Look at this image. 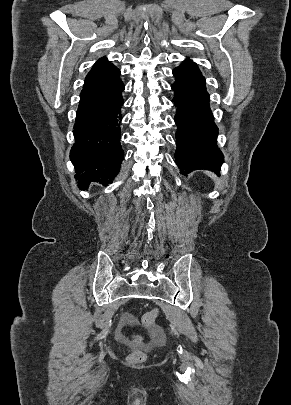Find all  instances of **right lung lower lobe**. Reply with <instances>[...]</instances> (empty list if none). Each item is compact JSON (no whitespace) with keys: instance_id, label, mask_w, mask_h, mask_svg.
I'll return each mask as SVG.
<instances>
[{"instance_id":"1","label":"right lung lower lobe","mask_w":291,"mask_h":405,"mask_svg":"<svg viewBox=\"0 0 291 405\" xmlns=\"http://www.w3.org/2000/svg\"><path fill=\"white\" fill-rule=\"evenodd\" d=\"M119 75L120 71L85 84L81 91L73 130L75 143L70 150L80 187L92 181L106 186L120 171L124 159L120 143L124 84Z\"/></svg>"}]
</instances>
